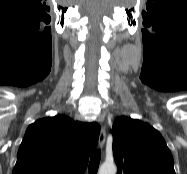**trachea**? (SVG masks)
Returning a JSON list of instances; mask_svg holds the SVG:
<instances>
[{"label": "trachea", "instance_id": "1", "mask_svg": "<svg viewBox=\"0 0 187 174\" xmlns=\"http://www.w3.org/2000/svg\"><path fill=\"white\" fill-rule=\"evenodd\" d=\"M101 159V151L99 149L92 151L90 163H89V174H97L99 163Z\"/></svg>", "mask_w": 187, "mask_h": 174}]
</instances>
